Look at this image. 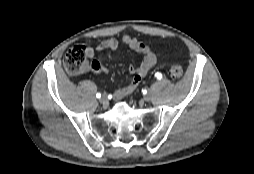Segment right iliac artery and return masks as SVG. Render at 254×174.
<instances>
[{"instance_id":"right-iliac-artery-1","label":"right iliac artery","mask_w":254,"mask_h":174,"mask_svg":"<svg viewBox=\"0 0 254 174\" xmlns=\"http://www.w3.org/2000/svg\"><path fill=\"white\" fill-rule=\"evenodd\" d=\"M96 97H97V98H100V97H101V94H100V93H97V94H96Z\"/></svg>"}]
</instances>
